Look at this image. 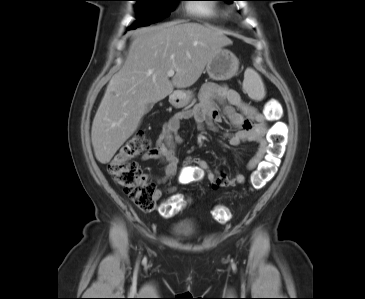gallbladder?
I'll return each mask as SVG.
<instances>
[{
    "label": "gallbladder",
    "instance_id": "obj_1",
    "mask_svg": "<svg viewBox=\"0 0 365 299\" xmlns=\"http://www.w3.org/2000/svg\"><path fill=\"white\" fill-rule=\"evenodd\" d=\"M153 103H149L147 106H146V110H145V112L147 113V112H149L152 108H153Z\"/></svg>",
    "mask_w": 365,
    "mask_h": 299
}]
</instances>
